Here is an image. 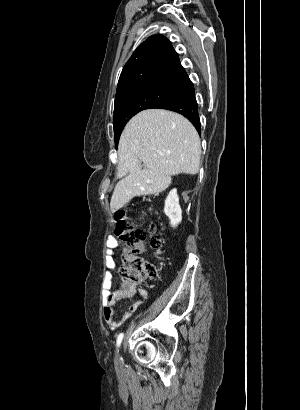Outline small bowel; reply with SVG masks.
I'll list each match as a JSON object with an SVG mask.
<instances>
[{"mask_svg": "<svg viewBox=\"0 0 300 410\" xmlns=\"http://www.w3.org/2000/svg\"><path fill=\"white\" fill-rule=\"evenodd\" d=\"M106 245L108 247V259H107V271L103 281V317L110 328H116L120 322L127 319L132 313H134L138 307L142 304L143 300L147 297V291L142 288H138L135 284L120 283V285L112 288V273L116 268V261L113 257L114 251L119 248L118 242L110 237ZM125 253V250H123ZM138 295L139 298L123 313L121 318H116L114 315V305L116 302L131 298Z\"/></svg>", "mask_w": 300, "mask_h": 410, "instance_id": "obj_1", "label": "small bowel"}]
</instances>
